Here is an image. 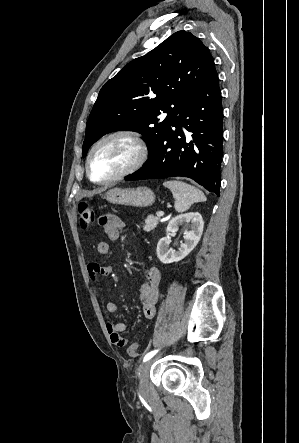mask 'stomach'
Here are the masks:
<instances>
[{"label": "stomach", "instance_id": "1", "mask_svg": "<svg viewBox=\"0 0 299 443\" xmlns=\"http://www.w3.org/2000/svg\"><path fill=\"white\" fill-rule=\"evenodd\" d=\"M105 199L112 204L147 207L154 203L155 195L147 187L112 188L106 192Z\"/></svg>", "mask_w": 299, "mask_h": 443}]
</instances>
